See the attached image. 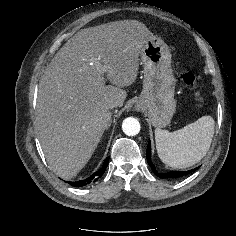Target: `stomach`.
Wrapping results in <instances>:
<instances>
[{
  "instance_id": "obj_1",
  "label": "stomach",
  "mask_w": 236,
  "mask_h": 236,
  "mask_svg": "<svg viewBox=\"0 0 236 236\" xmlns=\"http://www.w3.org/2000/svg\"><path fill=\"white\" fill-rule=\"evenodd\" d=\"M140 54L144 79L136 109L146 112L154 127H165L176 111L170 49L163 40L154 38L147 40Z\"/></svg>"
}]
</instances>
